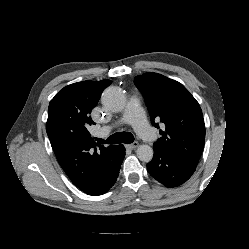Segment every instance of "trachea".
Listing matches in <instances>:
<instances>
[{
	"mask_svg": "<svg viewBox=\"0 0 249 249\" xmlns=\"http://www.w3.org/2000/svg\"><path fill=\"white\" fill-rule=\"evenodd\" d=\"M134 136L130 132H117L111 136H109L106 140L95 138L98 144H118V143H126L130 144L134 142Z\"/></svg>",
	"mask_w": 249,
	"mask_h": 249,
	"instance_id": "obj_1",
	"label": "trachea"
}]
</instances>
